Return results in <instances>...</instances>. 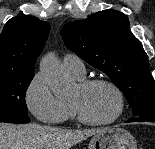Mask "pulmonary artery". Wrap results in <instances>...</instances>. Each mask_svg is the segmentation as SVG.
<instances>
[{
	"mask_svg": "<svg viewBox=\"0 0 155 149\" xmlns=\"http://www.w3.org/2000/svg\"><path fill=\"white\" fill-rule=\"evenodd\" d=\"M64 70L76 78H83L85 66L83 60L75 54H67L62 61Z\"/></svg>",
	"mask_w": 155,
	"mask_h": 149,
	"instance_id": "e3ab8cb5",
	"label": "pulmonary artery"
}]
</instances>
